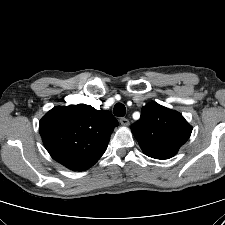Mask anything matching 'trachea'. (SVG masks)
Returning <instances> with one entry per match:
<instances>
[{"instance_id": "obj_1", "label": "trachea", "mask_w": 225, "mask_h": 225, "mask_svg": "<svg viewBox=\"0 0 225 225\" xmlns=\"http://www.w3.org/2000/svg\"><path fill=\"white\" fill-rule=\"evenodd\" d=\"M113 113L117 117H123L126 114V108L122 103H117L114 106Z\"/></svg>"}]
</instances>
